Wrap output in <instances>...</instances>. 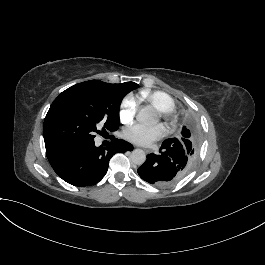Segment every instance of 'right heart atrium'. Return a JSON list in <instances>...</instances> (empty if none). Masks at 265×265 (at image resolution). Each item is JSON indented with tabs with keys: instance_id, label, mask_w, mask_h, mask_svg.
I'll return each instance as SVG.
<instances>
[{
	"instance_id": "right-heart-atrium-1",
	"label": "right heart atrium",
	"mask_w": 265,
	"mask_h": 265,
	"mask_svg": "<svg viewBox=\"0 0 265 265\" xmlns=\"http://www.w3.org/2000/svg\"><path fill=\"white\" fill-rule=\"evenodd\" d=\"M140 100L133 94L127 95L122 104L120 117L123 122H130L138 112Z\"/></svg>"
}]
</instances>
